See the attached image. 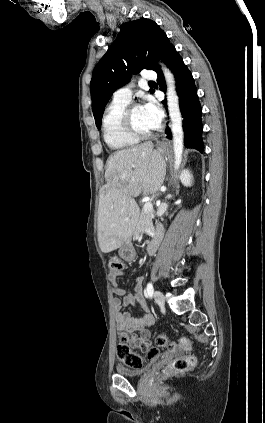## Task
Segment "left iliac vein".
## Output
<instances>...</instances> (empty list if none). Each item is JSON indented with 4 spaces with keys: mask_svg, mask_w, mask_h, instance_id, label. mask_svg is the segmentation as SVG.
Segmentation results:
<instances>
[{
    "mask_svg": "<svg viewBox=\"0 0 265 423\" xmlns=\"http://www.w3.org/2000/svg\"><path fill=\"white\" fill-rule=\"evenodd\" d=\"M154 300L160 307L164 306L165 300H164V295L162 292L156 290L154 292Z\"/></svg>",
    "mask_w": 265,
    "mask_h": 423,
    "instance_id": "1",
    "label": "left iliac vein"
}]
</instances>
